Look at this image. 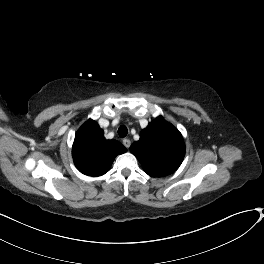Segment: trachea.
<instances>
[{
    "mask_svg": "<svg viewBox=\"0 0 264 264\" xmlns=\"http://www.w3.org/2000/svg\"><path fill=\"white\" fill-rule=\"evenodd\" d=\"M128 133V129L126 126H120L118 128V134L121 138H124Z\"/></svg>",
    "mask_w": 264,
    "mask_h": 264,
    "instance_id": "trachea-1",
    "label": "trachea"
}]
</instances>
